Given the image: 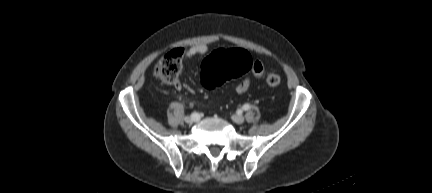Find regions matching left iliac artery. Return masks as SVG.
Wrapping results in <instances>:
<instances>
[{
  "label": "left iliac artery",
  "mask_w": 432,
  "mask_h": 193,
  "mask_svg": "<svg viewBox=\"0 0 432 193\" xmlns=\"http://www.w3.org/2000/svg\"><path fill=\"white\" fill-rule=\"evenodd\" d=\"M242 108H243V110H249L250 109V105L249 104H244Z\"/></svg>",
  "instance_id": "44dca946"
}]
</instances>
